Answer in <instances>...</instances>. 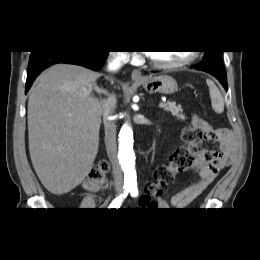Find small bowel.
Returning <instances> with one entry per match:
<instances>
[{
  "label": "small bowel",
  "instance_id": "small-bowel-1",
  "mask_svg": "<svg viewBox=\"0 0 260 260\" xmlns=\"http://www.w3.org/2000/svg\"><path fill=\"white\" fill-rule=\"evenodd\" d=\"M192 124L203 133L206 141L217 143L218 149H202L196 154L190 170L199 175V180L171 198V206L177 209L190 206L215 180L219 172L232 163L237 151V140L232 130L216 128L198 116H193ZM140 205L146 207L151 203L142 196Z\"/></svg>",
  "mask_w": 260,
  "mask_h": 260
}]
</instances>
